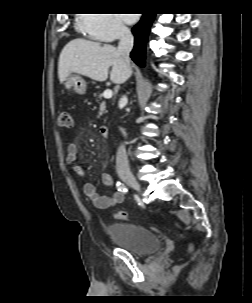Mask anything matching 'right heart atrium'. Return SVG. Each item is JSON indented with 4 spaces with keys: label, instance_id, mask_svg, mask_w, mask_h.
I'll return each instance as SVG.
<instances>
[{
    "label": "right heart atrium",
    "instance_id": "d8ad5b80",
    "mask_svg": "<svg viewBox=\"0 0 252 303\" xmlns=\"http://www.w3.org/2000/svg\"><path fill=\"white\" fill-rule=\"evenodd\" d=\"M79 24L88 35L102 42H113L128 33L117 14H80Z\"/></svg>",
    "mask_w": 252,
    "mask_h": 303
}]
</instances>
